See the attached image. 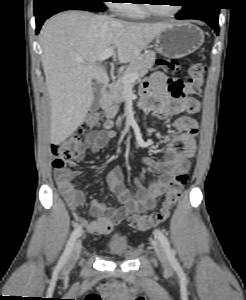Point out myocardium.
I'll list each match as a JSON object with an SVG mask.
<instances>
[{"instance_id":"myocardium-1","label":"myocardium","mask_w":246,"mask_h":300,"mask_svg":"<svg viewBox=\"0 0 246 300\" xmlns=\"http://www.w3.org/2000/svg\"><path fill=\"white\" fill-rule=\"evenodd\" d=\"M148 2V1H146ZM141 8L148 14V15H152L155 17H159V18H171V17H175L176 15H178V13L181 10V6L177 5L176 8L170 12V13H161L159 11H157L152 3H143L142 5H140Z\"/></svg>"}]
</instances>
